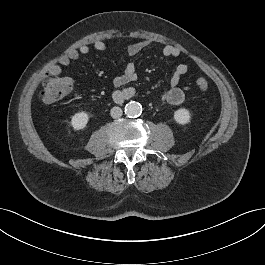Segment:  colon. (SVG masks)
<instances>
[{"instance_id": "colon-1", "label": "colon", "mask_w": 265, "mask_h": 265, "mask_svg": "<svg viewBox=\"0 0 265 265\" xmlns=\"http://www.w3.org/2000/svg\"><path fill=\"white\" fill-rule=\"evenodd\" d=\"M195 84L201 92H205L209 88V82L205 77L196 78ZM72 85L70 77L50 74L43 81L40 98L43 103L52 104L69 94Z\"/></svg>"}]
</instances>
